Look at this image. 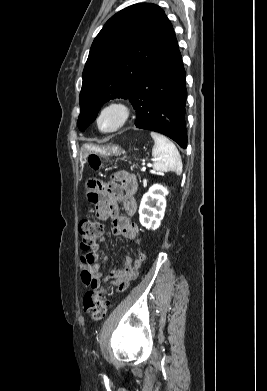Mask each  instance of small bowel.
Here are the masks:
<instances>
[{
  "label": "small bowel",
  "mask_w": 267,
  "mask_h": 391,
  "mask_svg": "<svg viewBox=\"0 0 267 391\" xmlns=\"http://www.w3.org/2000/svg\"><path fill=\"white\" fill-rule=\"evenodd\" d=\"M88 200L95 206L96 218L104 221L110 219L112 222V233L123 236L136 244L141 243L140 229L129 217L137 211L135 194L138 189L137 180L134 175L121 171L116 174L115 181L108 184H100L91 181L88 184ZM126 214L120 212V206ZM105 238L100 239V243L105 242ZM98 245L92 251L87 252L80 258L82 282L92 288L97 289L104 281L113 285L118 291H124L131 280L135 279L138 270L145 259V254L139 250L135 259L124 256L118 267L109 270L103 277L101 272V259L97 254ZM105 261L106 258H103Z\"/></svg>",
  "instance_id": "small-bowel-1"
}]
</instances>
